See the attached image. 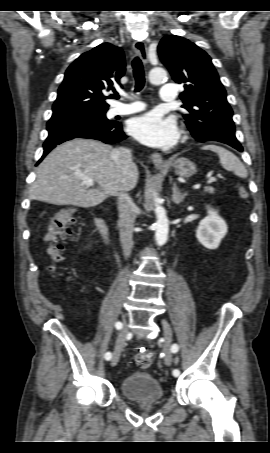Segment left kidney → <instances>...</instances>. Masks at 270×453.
Instances as JSON below:
<instances>
[{"mask_svg": "<svg viewBox=\"0 0 270 453\" xmlns=\"http://www.w3.org/2000/svg\"><path fill=\"white\" fill-rule=\"evenodd\" d=\"M207 216L200 221L196 238L207 249L215 250L227 234V224L212 208H207Z\"/></svg>", "mask_w": 270, "mask_h": 453, "instance_id": "5707ae66", "label": "left kidney"}]
</instances>
